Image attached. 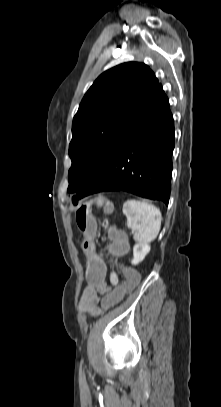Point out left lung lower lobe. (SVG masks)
<instances>
[{"instance_id": "left-lung-lower-lobe-1", "label": "left lung lower lobe", "mask_w": 221, "mask_h": 407, "mask_svg": "<svg viewBox=\"0 0 221 407\" xmlns=\"http://www.w3.org/2000/svg\"><path fill=\"white\" fill-rule=\"evenodd\" d=\"M173 149V116L159 84L125 129L104 168L73 203L94 193L123 190L168 205Z\"/></svg>"}]
</instances>
